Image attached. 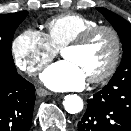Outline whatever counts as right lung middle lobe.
Returning a JSON list of instances; mask_svg holds the SVG:
<instances>
[{
	"label": "right lung middle lobe",
	"instance_id": "obj_1",
	"mask_svg": "<svg viewBox=\"0 0 131 131\" xmlns=\"http://www.w3.org/2000/svg\"><path fill=\"white\" fill-rule=\"evenodd\" d=\"M27 15V11L0 15V62L14 63L11 42L16 28Z\"/></svg>",
	"mask_w": 131,
	"mask_h": 131
}]
</instances>
